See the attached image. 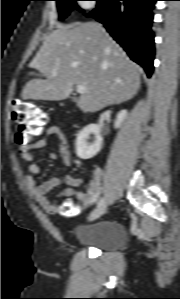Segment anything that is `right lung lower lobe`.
I'll use <instances>...</instances> for the list:
<instances>
[{
    "mask_svg": "<svg viewBox=\"0 0 180 299\" xmlns=\"http://www.w3.org/2000/svg\"><path fill=\"white\" fill-rule=\"evenodd\" d=\"M157 0H103L87 17L104 24L129 57L141 65L148 77L153 72L154 35L152 9Z\"/></svg>",
    "mask_w": 180,
    "mask_h": 299,
    "instance_id": "right-lung-lower-lobe-1",
    "label": "right lung lower lobe"
}]
</instances>
